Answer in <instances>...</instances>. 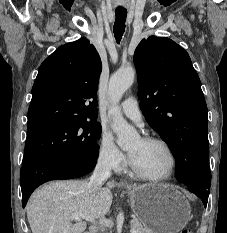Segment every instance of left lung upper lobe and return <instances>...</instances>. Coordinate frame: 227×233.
I'll return each instance as SVG.
<instances>
[{
	"label": "left lung upper lobe",
	"mask_w": 227,
	"mask_h": 233,
	"mask_svg": "<svg viewBox=\"0 0 227 233\" xmlns=\"http://www.w3.org/2000/svg\"><path fill=\"white\" fill-rule=\"evenodd\" d=\"M134 64L140 108L169 145L177 180L209 193L208 111L188 53L169 38L151 36L136 48Z\"/></svg>",
	"instance_id": "5c2ea615"
}]
</instances>
